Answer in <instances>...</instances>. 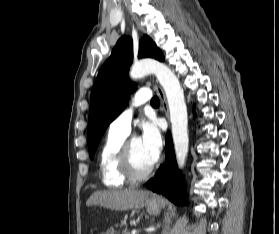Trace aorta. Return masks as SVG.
I'll use <instances>...</instances> for the list:
<instances>
[{
	"mask_svg": "<svg viewBox=\"0 0 279 234\" xmlns=\"http://www.w3.org/2000/svg\"><path fill=\"white\" fill-rule=\"evenodd\" d=\"M148 74H154L165 91L170 112L176 161L178 167L183 168L189 147L188 116L183 89L175 73L168 66L154 59L139 61L130 70L132 79H139Z\"/></svg>",
	"mask_w": 279,
	"mask_h": 234,
	"instance_id": "762f6f07",
	"label": "aorta"
}]
</instances>
